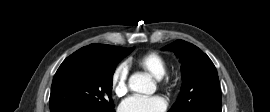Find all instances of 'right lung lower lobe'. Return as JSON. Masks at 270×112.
<instances>
[{
	"label": "right lung lower lobe",
	"mask_w": 270,
	"mask_h": 112,
	"mask_svg": "<svg viewBox=\"0 0 270 112\" xmlns=\"http://www.w3.org/2000/svg\"><path fill=\"white\" fill-rule=\"evenodd\" d=\"M50 112H100V111L92 110V109H81V108H60V109L51 110ZM113 112H115V110Z\"/></svg>",
	"instance_id": "98d812e1"
}]
</instances>
